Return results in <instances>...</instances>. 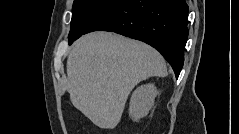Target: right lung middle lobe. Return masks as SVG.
Instances as JSON below:
<instances>
[{
  "instance_id": "1",
  "label": "right lung middle lobe",
  "mask_w": 239,
  "mask_h": 134,
  "mask_svg": "<svg viewBox=\"0 0 239 134\" xmlns=\"http://www.w3.org/2000/svg\"><path fill=\"white\" fill-rule=\"evenodd\" d=\"M119 0H74L69 42L79 38L89 25Z\"/></svg>"
}]
</instances>
